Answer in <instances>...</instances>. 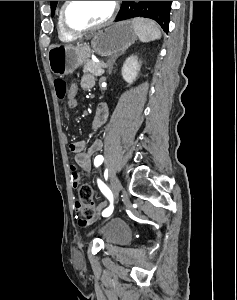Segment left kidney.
Here are the masks:
<instances>
[{
    "label": "left kidney",
    "instance_id": "1",
    "mask_svg": "<svg viewBox=\"0 0 237 300\" xmlns=\"http://www.w3.org/2000/svg\"><path fill=\"white\" fill-rule=\"evenodd\" d=\"M140 63H138L137 57L132 55V57H128L126 59L123 67H122V77L126 83H130L132 85L133 81H136V77L140 71Z\"/></svg>",
    "mask_w": 237,
    "mask_h": 300
}]
</instances>
